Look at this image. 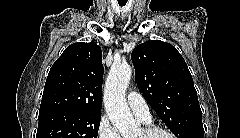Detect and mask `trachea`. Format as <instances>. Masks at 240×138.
Wrapping results in <instances>:
<instances>
[{
  "label": "trachea",
  "instance_id": "1",
  "mask_svg": "<svg viewBox=\"0 0 240 138\" xmlns=\"http://www.w3.org/2000/svg\"><path fill=\"white\" fill-rule=\"evenodd\" d=\"M120 6L122 7V6H124V4H120Z\"/></svg>",
  "mask_w": 240,
  "mask_h": 138
}]
</instances>
